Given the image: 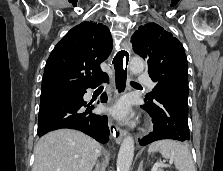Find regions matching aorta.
Returning a JSON list of instances; mask_svg holds the SVG:
<instances>
[{
    "label": "aorta",
    "mask_w": 223,
    "mask_h": 171,
    "mask_svg": "<svg viewBox=\"0 0 223 171\" xmlns=\"http://www.w3.org/2000/svg\"><path fill=\"white\" fill-rule=\"evenodd\" d=\"M145 67L144 61L140 57H133L129 61V68L132 74L137 75L143 72ZM134 156V139L127 135L121 146L117 158V171H129Z\"/></svg>",
    "instance_id": "aorta-1"
}]
</instances>
